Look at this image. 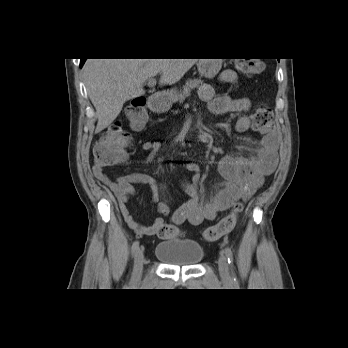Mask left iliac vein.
<instances>
[{
	"label": "left iliac vein",
	"mask_w": 348,
	"mask_h": 348,
	"mask_svg": "<svg viewBox=\"0 0 348 348\" xmlns=\"http://www.w3.org/2000/svg\"><path fill=\"white\" fill-rule=\"evenodd\" d=\"M218 266H219V273H220L221 279L223 281H229L230 275H229L228 261L223 254L219 256Z\"/></svg>",
	"instance_id": "left-iliac-vein-1"
}]
</instances>
